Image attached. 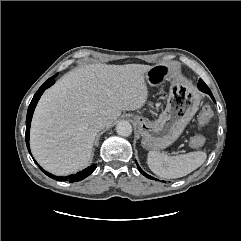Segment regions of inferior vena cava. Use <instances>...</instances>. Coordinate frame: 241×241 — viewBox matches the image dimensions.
<instances>
[{"label":"inferior vena cava","instance_id":"602c4592","mask_svg":"<svg viewBox=\"0 0 241 241\" xmlns=\"http://www.w3.org/2000/svg\"><path fill=\"white\" fill-rule=\"evenodd\" d=\"M106 123H107L106 119L103 117H100L94 121L93 126L96 130H101L106 126Z\"/></svg>","mask_w":241,"mask_h":241}]
</instances>
